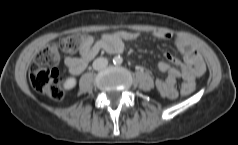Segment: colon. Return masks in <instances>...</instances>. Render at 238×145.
Returning a JSON list of instances; mask_svg holds the SVG:
<instances>
[{"label":"colon","mask_w":238,"mask_h":145,"mask_svg":"<svg viewBox=\"0 0 238 145\" xmlns=\"http://www.w3.org/2000/svg\"><path fill=\"white\" fill-rule=\"evenodd\" d=\"M83 39L82 35H71L62 38L58 43L47 45L38 53L29 73L30 83L37 92L54 100H61L64 97L61 78L56 66L60 62L61 52L77 51ZM193 89V86L184 83L181 87V95L187 96L193 92Z\"/></svg>","instance_id":"colon-1"}]
</instances>
